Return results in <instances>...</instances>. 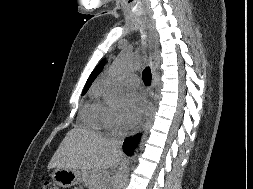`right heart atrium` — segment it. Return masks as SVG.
<instances>
[{
	"mask_svg": "<svg viewBox=\"0 0 253 189\" xmlns=\"http://www.w3.org/2000/svg\"><path fill=\"white\" fill-rule=\"evenodd\" d=\"M104 120L103 126L109 130H119L122 128V116L119 111L107 105H103Z\"/></svg>",
	"mask_w": 253,
	"mask_h": 189,
	"instance_id": "right-heart-atrium-1",
	"label": "right heart atrium"
}]
</instances>
